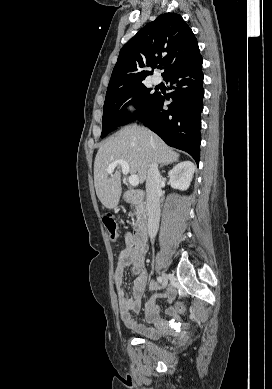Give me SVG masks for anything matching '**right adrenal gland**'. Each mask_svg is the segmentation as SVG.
I'll list each match as a JSON object with an SVG mask.
<instances>
[{
    "label": "right adrenal gland",
    "mask_w": 272,
    "mask_h": 389,
    "mask_svg": "<svg viewBox=\"0 0 272 389\" xmlns=\"http://www.w3.org/2000/svg\"><path fill=\"white\" fill-rule=\"evenodd\" d=\"M164 165H167V164H163V165H161L160 167H163Z\"/></svg>",
    "instance_id": "1"
}]
</instances>
